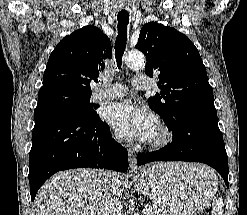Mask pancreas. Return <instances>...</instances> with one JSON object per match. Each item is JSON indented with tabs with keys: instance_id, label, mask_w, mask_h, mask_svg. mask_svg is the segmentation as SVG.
<instances>
[{
	"instance_id": "1",
	"label": "pancreas",
	"mask_w": 247,
	"mask_h": 215,
	"mask_svg": "<svg viewBox=\"0 0 247 215\" xmlns=\"http://www.w3.org/2000/svg\"><path fill=\"white\" fill-rule=\"evenodd\" d=\"M145 215H148V214L145 213ZM150 215H168V213L165 211H153Z\"/></svg>"
}]
</instances>
